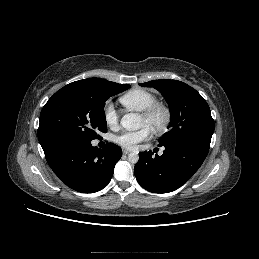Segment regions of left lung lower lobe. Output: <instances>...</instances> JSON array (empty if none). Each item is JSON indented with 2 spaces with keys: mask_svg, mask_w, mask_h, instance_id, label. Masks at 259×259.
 <instances>
[{
  "mask_svg": "<svg viewBox=\"0 0 259 259\" xmlns=\"http://www.w3.org/2000/svg\"><path fill=\"white\" fill-rule=\"evenodd\" d=\"M164 146L162 156L151 151L139 153L134 167L138 183L153 193H168L181 187L200 168L209 145L196 141H177Z\"/></svg>",
  "mask_w": 259,
  "mask_h": 259,
  "instance_id": "obj_1",
  "label": "left lung lower lobe"
}]
</instances>
